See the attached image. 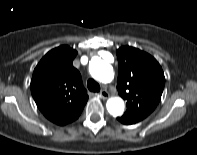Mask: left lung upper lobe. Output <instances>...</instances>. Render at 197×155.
<instances>
[{
    "mask_svg": "<svg viewBox=\"0 0 197 155\" xmlns=\"http://www.w3.org/2000/svg\"><path fill=\"white\" fill-rule=\"evenodd\" d=\"M119 74L117 89L127 100L123 117L139 122L158 105L165 85L160 64L148 53L125 46L117 51Z\"/></svg>",
    "mask_w": 197,
    "mask_h": 155,
    "instance_id": "obj_1",
    "label": "left lung upper lobe"
}]
</instances>
